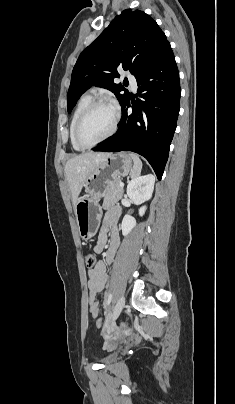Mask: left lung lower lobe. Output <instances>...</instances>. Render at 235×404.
I'll return each mask as SVG.
<instances>
[{"label":"left lung lower lobe","mask_w":235,"mask_h":404,"mask_svg":"<svg viewBox=\"0 0 235 404\" xmlns=\"http://www.w3.org/2000/svg\"><path fill=\"white\" fill-rule=\"evenodd\" d=\"M136 102L122 107L118 131L94 151H132L145 157L162 178L176 129L180 105L179 72L170 44L165 45L136 76ZM132 107V114L127 110Z\"/></svg>","instance_id":"obj_1"}]
</instances>
